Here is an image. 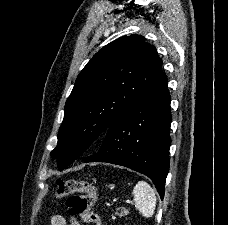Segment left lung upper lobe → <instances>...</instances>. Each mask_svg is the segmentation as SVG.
I'll return each mask as SVG.
<instances>
[{"instance_id": "left-lung-upper-lobe-1", "label": "left lung upper lobe", "mask_w": 228, "mask_h": 225, "mask_svg": "<svg viewBox=\"0 0 228 225\" xmlns=\"http://www.w3.org/2000/svg\"><path fill=\"white\" fill-rule=\"evenodd\" d=\"M145 40L137 34L120 37L99 50L79 73L51 152L60 170L105 134L163 73L155 46Z\"/></svg>"}]
</instances>
